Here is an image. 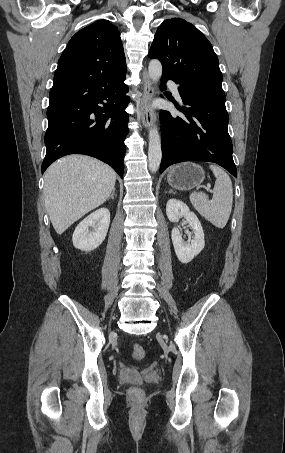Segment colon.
I'll list each match as a JSON object with an SVG mask.
<instances>
[{
    "instance_id": "1",
    "label": "colon",
    "mask_w": 285,
    "mask_h": 453,
    "mask_svg": "<svg viewBox=\"0 0 285 453\" xmlns=\"http://www.w3.org/2000/svg\"><path fill=\"white\" fill-rule=\"evenodd\" d=\"M131 355L135 360L143 359L145 356L144 347L139 343H133L131 345ZM129 393L133 398H139L142 395L141 390L138 388H131Z\"/></svg>"
}]
</instances>
